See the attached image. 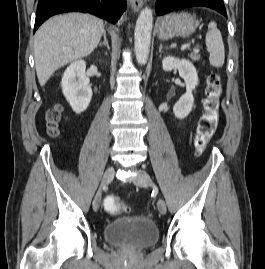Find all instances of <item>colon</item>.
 Segmentation results:
<instances>
[{"instance_id": "5ec220e1", "label": "colon", "mask_w": 265, "mask_h": 269, "mask_svg": "<svg viewBox=\"0 0 265 269\" xmlns=\"http://www.w3.org/2000/svg\"><path fill=\"white\" fill-rule=\"evenodd\" d=\"M222 93L220 76L216 72H210L207 77L205 98L203 100V114L198 123L195 137V147L198 151L204 150L215 134L219 121V99ZM61 109L56 106L47 112V131L51 136L59 134L61 121ZM104 207L108 213L117 214L125 210V204L117 196H107Z\"/></svg>"}]
</instances>
